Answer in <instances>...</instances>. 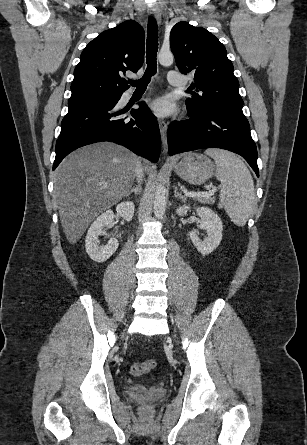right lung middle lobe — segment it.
<instances>
[{"label":"right lung middle lobe","mask_w":307,"mask_h":445,"mask_svg":"<svg viewBox=\"0 0 307 445\" xmlns=\"http://www.w3.org/2000/svg\"><path fill=\"white\" fill-rule=\"evenodd\" d=\"M104 97H106V96H104ZM97 98H102V97H94V98H89V99H85V100H91V99H97ZM85 100L69 101V104L75 103V102H80V101H85Z\"/></svg>","instance_id":"right-lung-middle-lobe-1"}]
</instances>
